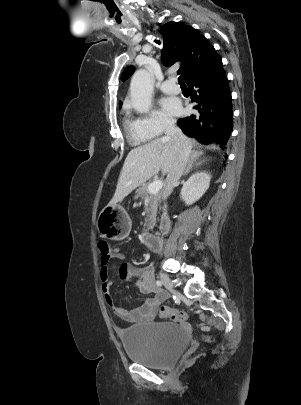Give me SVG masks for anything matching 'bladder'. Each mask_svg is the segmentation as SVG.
I'll return each instance as SVG.
<instances>
[{"mask_svg": "<svg viewBox=\"0 0 301 405\" xmlns=\"http://www.w3.org/2000/svg\"><path fill=\"white\" fill-rule=\"evenodd\" d=\"M127 357L154 369H166L175 364L189 344L182 324L150 322L127 327L120 332Z\"/></svg>", "mask_w": 301, "mask_h": 405, "instance_id": "31cf9c89", "label": "bladder"}]
</instances>
